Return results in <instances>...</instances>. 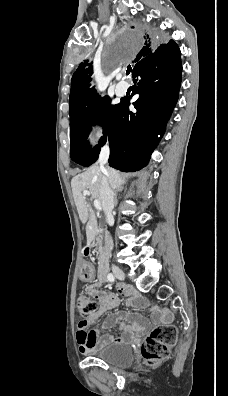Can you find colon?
<instances>
[{
    "label": "colon",
    "instance_id": "colon-1",
    "mask_svg": "<svg viewBox=\"0 0 228 396\" xmlns=\"http://www.w3.org/2000/svg\"><path fill=\"white\" fill-rule=\"evenodd\" d=\"M77 306L81 316L79 326H88L91 316L97 311L98 304L85 294L77 298ZM177 338L176 328L172 325H160L154 328L143 340L141 355L147 365H158L170 354Z\"/></svg>",
    "mask_w": 228,
    "mask_h": 396
}]
</instances>
